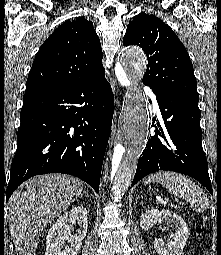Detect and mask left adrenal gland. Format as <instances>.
<instances>
[{"label": "left adrenal gland", "mask_w": 221, "mask_h": 255, "mask_svg": "<svg viewBox=\"0 0 221 255\" xmlns=\"http://www.w3.org/2000/svg\"><path fill=\"white\" fill-rule=\"evenodd\" d=\"M140 198H143V196L141 194H139L136 198V200L140 199Z\"/></svg>", "instance_id": "1"}]
</instances>
